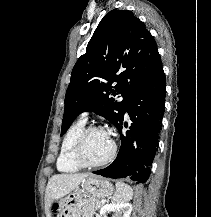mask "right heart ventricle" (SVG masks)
Returning <instances> with one entry per match:
<instances>
[{"mask_svg":"<svg viewBox=\"0 0 211 217\" xmlns=\"http://www.w3.org/2000/svg\"><path fill=\"white\" fill-rule=\"evenodd\" d=\"M85 123V120L80 119L66 132L57 159V168L59 171L74 173L82 168L74 159V146L79 134L85 128Z\"/></svg>","mask_w":211,"mask_h":217,"instance_id":"right-heart-ventricle-1","label":"right heart ventricle"}]
</instances>
